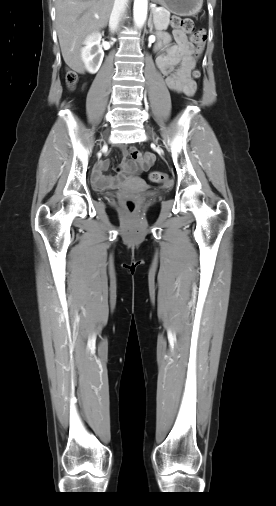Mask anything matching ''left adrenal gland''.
I'll list each match as a JSON object with an SVG mask.
<instances>
[{"label": "left adrenal gland", "mask_w": 276, "mask_h": 506, "mask_svg": "<svg viewBox=\"0 0 276 506\" xmlns=\"http://www.w3.org/2000/svg\"><path fill=\"white\" fill-rule=\"evenodd\" d=\"M152 14H153V9L150 13V16H149V20H148V27H149V32L150 33H153V21H152Z\"/></svg>", "instance_id": "obj_1"}]
</instances>
